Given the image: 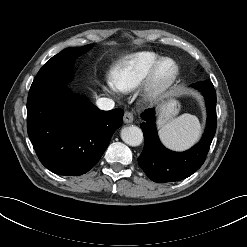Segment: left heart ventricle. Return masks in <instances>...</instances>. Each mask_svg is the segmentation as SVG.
<instances>
[{
    "mask_svg": "<svg viewBox=\"0 0 247 247\" xmlns=\"http://www.w3.org/2000/svg\"><path fill=\"white\" fill-rule=\"evenodd\" d=\"M172 69H173V67L170 63H168V62L164 63L160 69V77L161 78L167 77L168 75L171 74Z\"/></svg>",
    "mask_w": 247,
    "mask_h": 247,
    "instance_id": "obj_1",
    "label": "left heart ventricle"
}]
</instances>
